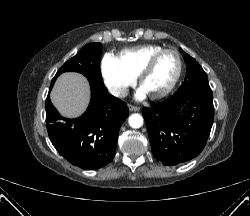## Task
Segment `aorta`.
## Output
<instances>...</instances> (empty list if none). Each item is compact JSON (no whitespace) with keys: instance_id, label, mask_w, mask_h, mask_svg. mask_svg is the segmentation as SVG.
Wrapping results in <instances>:
<instances>
[{"instance_id":"aorta-1","label":"aorta","mask_w":250,"mask_h":216,"mask_svg":"<svg viewBox=\"0 0 250 216\" xmlns=\"http://www.w3.org/2000/svg\"><path fill=\"white\" fill-rule=\"evenodd\" d=\"M129 125L132 128H140L143 125V117L140 114H132L129 117Z\"/></svg>"}]
</instances>
